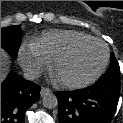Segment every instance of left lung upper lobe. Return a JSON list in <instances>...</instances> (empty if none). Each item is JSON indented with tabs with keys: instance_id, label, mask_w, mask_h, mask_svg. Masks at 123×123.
<instances>
[{
	"instance_id": "obj_1",
	"label": "left lung upper lobe",
	"mask_w": 123,
	"mask_h": 123,
	"mask_svg": "<svg viewBox=\"0 0 123 123\" xmlns=\"http://www.w3.org/2000/svg\"><path fill=\"white\" fill-rule=\"evenodd\" d=\"M120 67L115 58L114 53H111L110 65L105 74L97 81L99 83H112L120 85Z\"/></svg>"
}]
</instances>
